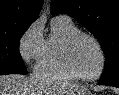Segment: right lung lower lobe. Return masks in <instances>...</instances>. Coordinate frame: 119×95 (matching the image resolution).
<instances>
[{
    "label": "right lung lower lobe",
    "instance_id": "98d812e1",
    "mask_svg": "<svg viewBox=\"0 0 119 95\" xmlns=\"http://www.w3.org/2000/svg\"><path fill=\"white\" fill-rule=\"evenodd\" d=\"M5 74H11V72H7V71H0V75H5Z\"/></svg>",
    "mask_w": 119,
    "mask_h": 95
}]
</instances>
